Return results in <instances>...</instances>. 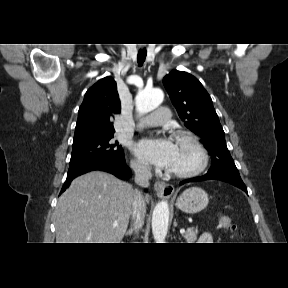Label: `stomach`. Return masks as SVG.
Segmentation results:
<instances>
[{
    "label": "stomach",
    "mask_w": 288,
    "mask_h": 288,
    "mask_svg": "<svg viewBox=\"0 0 288 288\" xmlns=\"http://www.w3.org/2000/svg\"><path fill=\"white\" fill-rule=\"evenodd\" d=\"M209 203L208 194L199 187L186 189L176 201V206L185 213L202 211Z\"/></svg>",
    "instance_id": "1"
}]
</instances>
